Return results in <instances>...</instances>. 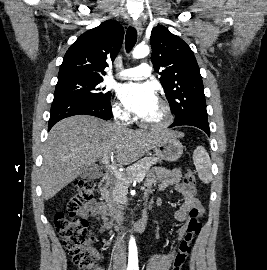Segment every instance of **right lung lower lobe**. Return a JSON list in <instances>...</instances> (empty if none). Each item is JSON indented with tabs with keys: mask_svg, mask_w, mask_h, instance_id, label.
I'll list each match as a JSON object with an SVG mask.
<instances>
[{
	"mask_svg": "<svg viewBox=\"0 0 267 270\" xmlns=\"http://www.w3.org/2000/svg\"><path fill=\"white\" fill-rule=\"evenodd\" d=\"M80 114L92 115L104 120H109L112 117L111 103L110 101L82 102L71 99H54L50 111L48 131L58 121Z\"/></svg>",
	"mask_w": 267,
	"mask_h": 270,
	"instance_id": "right-lung-lower-lobe-1",
	"label": "right lung lower lobe"
}]
</instances>
